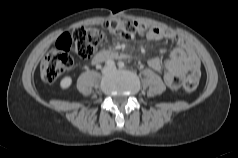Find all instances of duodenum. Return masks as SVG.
<instances>
[{"mask_svg":"<svg viewBox=\"0 0 238 158\" xmlns=\"http://www.w3.org/2000/svg\"><path fill=\"white\" fill-rule=\"evenodd\" d=\"M123 57H125L124 54L111 52V51H101L93 58V63L97 64V63H101L103 61L119 59V58H123Z\"/></svg>","mask_w":238,"mask_h":158,"instance_id":"obj_1","label":"duodenum"}]
</instances>
